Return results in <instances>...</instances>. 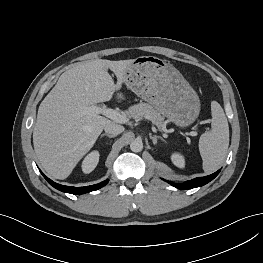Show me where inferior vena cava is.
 I'll return each mask as SVG.
<instances>
[{
	"mask_svg": "<svg viewBox=\"0 0 263 263\" xmlns=\"http://www.w3.org/2000/svg\"><path fill=\"white\" fill-rule=\"evenodd\" d=\"M104 130L108 134L117 136L124 131V127L115 123H109L104 127Z\"/></svg>",
	"mask_w": 263,
	"mask_h": 263,
	"instance_id": "602c4592",
	"label": "inferior vena cava"
}]
</instances>
